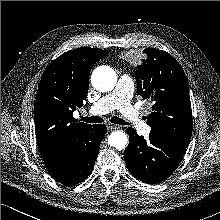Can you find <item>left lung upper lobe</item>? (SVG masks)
I'll return each mask as SVG.
<instances>
[{"label":"left lung upper lobe","mask_w":220,"mask_h":220,"mask_svg":"<svg viewBox=\"0 0 220 220\" xmlns=\"http://www.w3.org/2000/svg\"><path fill=\"white\" fill-rule=\"evenodd\" d=\"M137 67V94L150 99L153 112L147 124L151 132L188 144L192 133V111L188 82L178 62L168 53L148 48Z\"/></svg>","instance_id":"left-lung-upper-lobe-1"}]
</instances>
